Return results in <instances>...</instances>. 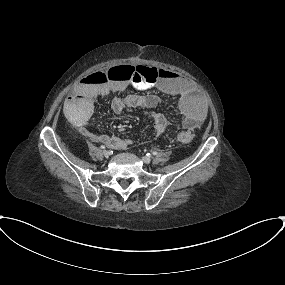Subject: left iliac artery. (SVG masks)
I'll return each mask as SVG.
<instances>
[{
    "instance_id": "left-iliac-artery-1",
    "label": "left iliac artery",
    "mask_w": 285,
    "mask_h": 285,
    "mask_svg": "<svg viewBox=\"0 0 285 285\" xmlns=\"http://www.w3.org/2000/svg\"><path fill=\"white\" fill-rule=\"evenodd\" d=\"M152 154H153V155H157L158 153H157L156 151H153Z\"/></svg>"
}]
</instances>
